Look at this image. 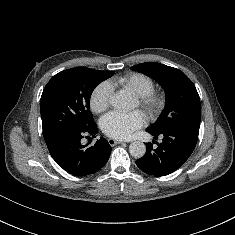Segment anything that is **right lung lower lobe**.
<instances>
[{
	"instance_id": "right-lung-lower-lobe-1",
	"label": "right lung lower lobe",
	"mask_w": 235,
	"mask_h": 235,
	"mask_svg": "<svg viewBox=\"0 0 235 235\" xmlns=\"http://www.w3.org/2000/svg\"><path fill=\"white\" fill-rule=\"evenodd\" d=\"M96 123L86 129H66L47 142L52 158L67 172L76 176H86L100 170L108 161L111 146L105 138H100L94 146L81 145L83 135L95 137Z\"/></svg>"
}]
</instances>
